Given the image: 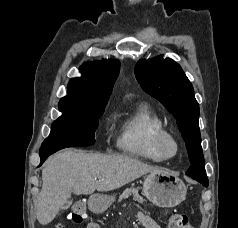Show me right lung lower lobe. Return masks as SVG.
<instances>
[{"mask_svg": "<svg viewBox=\"0 0 238 228\" xmlns=\"http://www.w3.org/2000/svg\"><path fill=\"white\" fill-rule=\"evenodd\" d=\"M58 150H60V149L40 151L41 162H40V165H39V166H41V164L46 160V158H47L49 155H51V154L57 152Z\"/></svg>", "mask_w": 238, "mask_h": 228, "instance_id": "obj_1", "label": "right lung lower lobe"}]
</instances>
